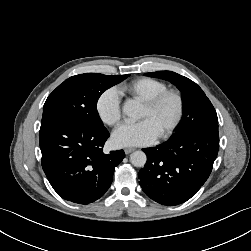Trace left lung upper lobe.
<instances>
[{"label": "left lung upper lobe", "instance_id": "obj_1", "mask_svg": "<svg viewBox=\"0 0 251 251\" xmlns=\"http://www.w3.org/2000/svg\"><path fill=\"white\" fill-rule=\"evenodd\" d=\"M145 75L171 82L183 95L184 115L171 140L196 130H218L216 111L203 90L195 82L172 71H157Z\"/></svg>", "mask_w": 251, "mask_h": 251}]
</instances>
